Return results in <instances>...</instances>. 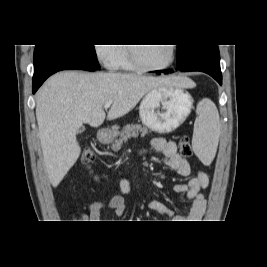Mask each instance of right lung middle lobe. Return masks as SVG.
<instances>
[{"mask_svg": "<svg viewBox=\"0 0 267 267\" xmlns=\"http://www.w3.org/2000/svg\"><path fill=\"white\" fill-rule=\"evenodd\" d=\"M55 46L60 47L61 49L76 55L77 57L87 61L96 68H100V65L96 58L94 45L58 44Z\"/></svg>", "mask_w": 267, "mask_h": 267, "instance_id": "obj_1", "label": "right lung middle lobe"}]
</instances>
